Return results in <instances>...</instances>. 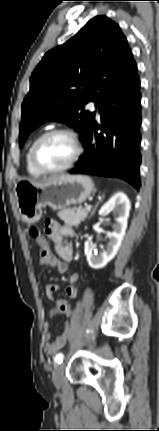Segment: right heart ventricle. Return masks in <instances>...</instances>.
Returning <instances> with one entry per match:
<instances>
[{"label": "right heart ventricle", "instance_id": "e07e8e85", "mask_svg": "<svg viewBox=\"0 0 159 431\" xmlns=\"http://www.w3.org/2000/svg\"><path fill=\"white\" fill-rule=\"evenodd\" d=\"M38 137H39V135H36V136L31 140V142H30V144H29V146H28V148H27L26 156H25L27 172H28L31 176H34V177H40V176H42V175L44 174V173H42L41 171H39V170H38V169L33 165L32 161H31V148H32L33 143L35 142V140H36Z\"/></svg>", "mask_w": 159, "mask_h": 431}]
</instances>
